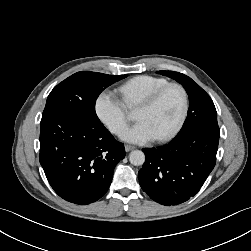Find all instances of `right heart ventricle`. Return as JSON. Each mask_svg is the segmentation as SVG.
<instances>
[{
    "instance_id": "1",
    "label": "right heart ventricle",
    "mask_w": 251,
    "mask_h": 251,
    "mask_svg": "<svg viewBox=\"0 0 251 251\" xmlns=\"http://www.w3.org/2000/svg\"><path fill=\"white\" fill-rule=\"evenodd\" d=\"M167 83L169 81L163 77L140 75L121 84L118 91L126 107L134 108Z\"/></svg>"
}]
</instances>
